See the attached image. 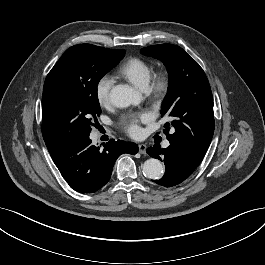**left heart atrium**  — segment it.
<instances>
[{
	"instance_id": "1",
	"label": "left heart atrium",
	"mask_w": 265,
	"mask_h": 265,
	"mask_svg": "<svg viewBox=\"0 0 265 265\" xmlns=\"http://www.w3.org/2000/svg\"><path fill=\"white\" fill-rule=\"evenodd\" d=\"M150 116L148 113H140L131 116H125L122 119L125 131L132 137H139L142 133L140 123L149 121Z\"/></svg>"
}]
</instances>
